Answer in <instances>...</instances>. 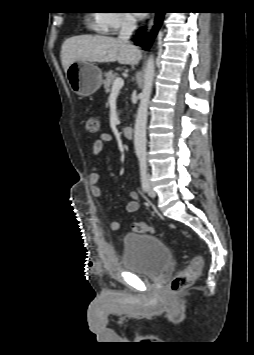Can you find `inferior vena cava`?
I'll list each match as a JSON object with an SVG mask.
<instances>
[{
  "label": "inferior vena cava",
  "mask_w": 254,
  "mask_h": 355,
  "mask_svg": "<svg viewBox=\"0 0 254 355\" xmlns=\"http://www.w3.org/2000/svg\"><path fill=\"white\" fill-rule=\"evenodd\" d=\"M135 29L136 24L133 22L132 19L128 17L123 18L118 39L125 43H129L130 36L132 35Z\"/></svg>",
  "instance_id": "obj_1"
}]
</instances>
